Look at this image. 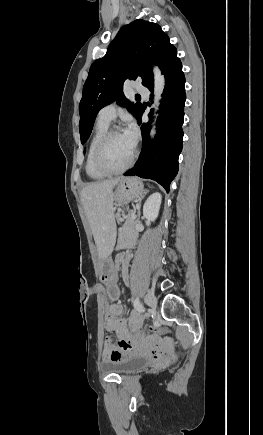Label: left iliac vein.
<instances>
[{
  "label": "left iliac vein",
  "mask_w": 263,
  "mask_h": 435,
  "mask_svg": "<svg viewBox=\"0 0 263 435\" xmlns=\"http://www.w3.org/2000/svg\"><path fill=\"white\" fill-rule=\"evenodd\" d=\"M145 303L151 308L152 312H155L156 305H157V300H156V297H155L154 293L148 292L146 294V296H145Z\"/></svg>",
  "instance_id": "obj_1"
}]
</instances>
